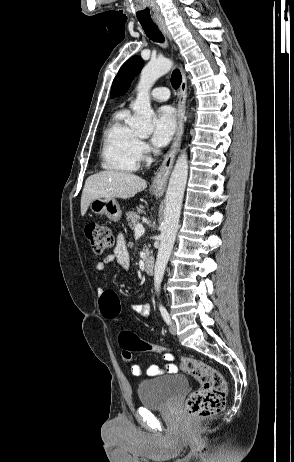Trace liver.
<instances>
[{
    "label": "liver",
    "instance_id": "1",
    "mask_svg": "<svg viewBox=\"0 0 294 462\" xmlns=\"http://www.w3.org/2000/svg\"><path fill=\"white\" fill-rule=\"evenodd\" d=\"M147 187L141 177L121 171H102L87 178L81 196V215L84 216L90 203L97 198L134 197Z\"/></svg>",
    "mask_w": 294,
    "mask_h": 462
}]
</instances>
